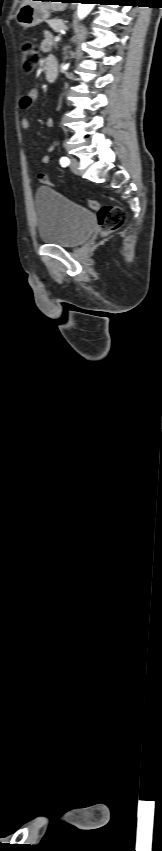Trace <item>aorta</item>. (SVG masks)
I'll list each match as a JSON object with an SVG mask.
<instances>
[{"label":"aorta","mask_w":162,"mask_h":851,"mask_svg":"<svg viewBox=\"0 0 162 851\" xmlns=\"http://www.w3.org/2000/svg\"><path fill=\"white\" fill-rule=\"evenodd\" d=\"M94 4L90 3H79L78 6V17L80 19L85 18L93 9Z\"/></svg>","instance_id":"aorta-1"}]
</instances>
